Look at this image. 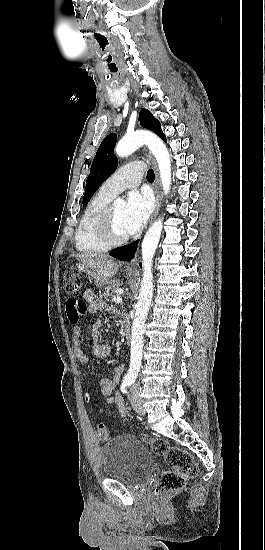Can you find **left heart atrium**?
<instances>
[{
    "label": "left heart atrium",
    "mask_w": 265,
    "mask_h": 550,
    "mask_svg": "<svg viewBox=\"0 0 265 550\" xmlns=\"http://www.w3.org/2000/svg\"><path fill=\"white\" fill-rule=\"evenodd\" d=\"M152 199L147 193L132 192L125 206V222L130 234L140 230L152 212Z\"/></svg>",
    "instance_id": "left-heart-atrium-1"
}]
</instances>
